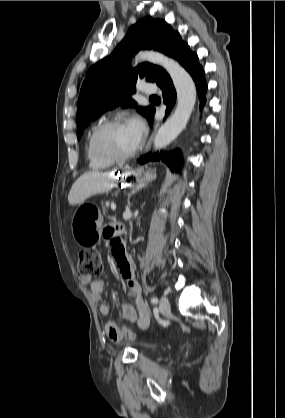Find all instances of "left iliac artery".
Here are the masks:
<instances>
[{
	"mask_svg": "<svg viewBox=\"0 0 285 418\" xmlns=\"http://www.w3.org/2000/svg\"><path fill=\"white\" fill-rule=\"evenodd\" d=\"M151 303L152 304H157L158 303V298L157 297H152L151 298Z\"/></svg>",
	"mask_w": 285,
	"mask_h": 418,
	"instance_id": "obj_1",
	"label": "left iliac artery"
}]
</instances>
